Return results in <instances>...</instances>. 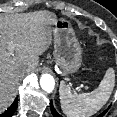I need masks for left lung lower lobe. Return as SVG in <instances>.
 I'll return each instance as SVG.
<instances>
[{
    "label": "left lung lower lobe",
    "instance_id": "obj_1",
    "mask_svg": "<svg viewBox=\"0 0 117 117\" xmlns=\"http://www.w3.org/2000/svg\"><path fill=\"white\" fill-rule=\"evenodd\" d=\"M110 108V106L104 111L102 112L100 115H98V117H102L104 116V114L108 111V109ZM51 112L53 114L54 117H62L60 114L57 113V111L54 109L52 101H51Z\"/></svg>",
    "mask_w": 117,
    "mask_h": 117
}]
</instances>
